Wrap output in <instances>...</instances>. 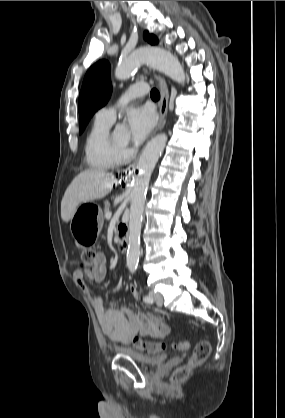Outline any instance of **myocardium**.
Segmentation results:
<instances>
[{
    "label": "myocardium",
    "instance_id": "obj_1",
    "mask_svg": "<svg viewBox=\"0 0 285 418\" xmlns=\"http://www.w3.org/2000/svg\"><path fill=\"white\" fill-rule=\"evenodd\" d=\"M113 134L109 131L106 135V143L108 144V146L110 147V149L117 154L118 156L124 157L125 156V146H117L114 142H113Z\"/></svg>",
    "mask_w": 285,
    "mask_h": 418
}]
</instances>
